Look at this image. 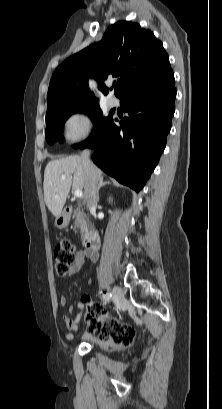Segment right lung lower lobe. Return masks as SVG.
I'll list each match as a JSON object with an SVG mask.
<instances>
[{
    "mask_svg": "<svg viewBox=\"0 0 222 409\" xmlns=\"http://www.w3.org/2000/svg\"><path fill=\"white\" fill-rule=\"evenodd\" d=\"M160 84L152 90L127 95L122 108L130 117L116 125L111 119L93 144L80 146L95 150L94 163L104 172L141 190L163 152L174 115L176 89L173 72L157 77Z\"/></svg>",
    "mask_w": 222,
    "mask_h": 409,
    "instance_id": "right-lung-lower-lobe-1",
    "label": "right lung lower lobe"
}]
</instances>
